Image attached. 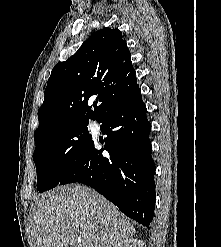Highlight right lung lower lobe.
<instances>
[{
  "mask_svg": "<svg viewBox=\"0 0 221 247\" xmlns=\"http://www.w3.org/2000/svg\"><path fill=\"white\" fill-rule=\"evenodd\" d=\"M97 121L107 135L100 140L103 147L99 149L98 142L91 139L59 184H86L149 229L156 201V167L141 90L108 109Z\"/></svg>",
  "mask_w": 221,
  "mask_h": 247,
  "instance_id": "98d812e1",
  "label": "right lung lower lobe"
}]
</instances>
